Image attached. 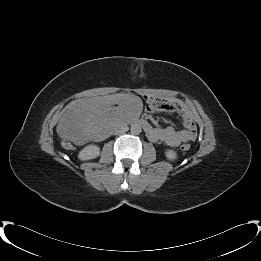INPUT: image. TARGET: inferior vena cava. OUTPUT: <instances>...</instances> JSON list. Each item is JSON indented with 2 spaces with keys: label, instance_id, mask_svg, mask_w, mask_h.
I'll return each instance as SVG.
<instances>
[{
  "label": "inferior vena cava",
  "instance_id": "602c4592",
  "mask_svg": "<svg viewBox=\"0 0 261 261\" xmlns=\"http://www.w3.org/2000/svg\"><path fill=\"white\" fill-rule=\"evenodd\" d=\"M128 130H129V127L127 126V124H121L118 127V129L116 130V133L123 134V133H125Z\"/></svg>",
  "mask_w": 261,
  "mask_h": 261
}]
</instances>
